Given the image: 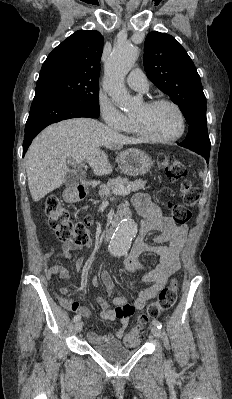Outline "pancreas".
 <instances>
[{
    "label": "pancreas",
    "instance_id": "1",
    "mask_svg": "<svg viewBox=\"0 0 232 399\" xmlns=\"http://www.w3.org/2000/svg\"><path fill=\"white\" fill-rule=\"evenodd\" d=\"M147 182L144 180H135V182H128L126 178H116V180H109L107 184H101L99 186V196L100 198H105V196H110L113 190H131V192H136V190H142ZM125 186V188H121Z\"/></svg>",
    "mask_w": 232,
    "mask_h": 399
}]
</instances>
